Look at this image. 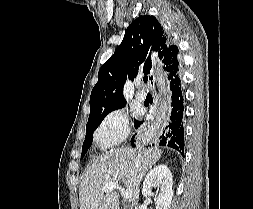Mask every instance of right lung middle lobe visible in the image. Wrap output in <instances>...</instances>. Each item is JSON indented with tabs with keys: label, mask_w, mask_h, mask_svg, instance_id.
Wrapping results in <instances>:
<instances>
[{
	"label": "right lung middle lobe",
	"mask_w": 253,
	"mask_h": 209,
	"mask_svg": "<svg viewBox=\"0 0 253 209\" xmlns=\"http://www.w3.org/2000/svg\"><path fill=\"white\" fill-rule=\"evenodd\" d=\"M122 107H124V106H120V107H118L116 109H119V108H122ZM116 109H113V110H116ZM113 110H110V111H107L105 113H101V114L95 115L93 117H89L87 125H86V137H85V140L83 142L81 158L84 157V155L88 151V148L92 144L94 130L100 125V123L105 118V116L107 114H109Z\"/></svg>",
	"instance_id": "obj_1"
}]
</instances>
